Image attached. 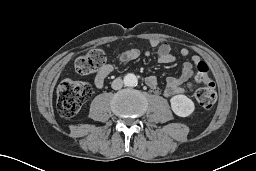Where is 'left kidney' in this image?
I'll list each match as a JSON object with an SVG mask.
<instances>
[{
  "mask_svg": "<svg viewBox=\"0 0 256 171\" xmlns=\"http://www.w3.org/2000/svg\"><path fill=\"white\" fill-rule=\"evenodd\" d=\"M170 103L173 112L179 117H187L195 109L193 101L182 94L173 96Z\"/></svg>",
  "mask_w": 256,
  "mask_h": 171,
  "instance_id": "obj_1",
  "label": "left kidney"
}]
</instances>
